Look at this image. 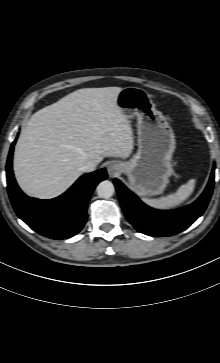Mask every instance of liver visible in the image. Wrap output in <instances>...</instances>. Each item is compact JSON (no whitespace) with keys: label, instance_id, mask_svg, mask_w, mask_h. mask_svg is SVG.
<instances>
[{"label":"liver","instance_id":"6515ba94","mask_svg":"<svg viewBox=\"0 0 220 363\" xmlns=\"http://www.w3.org/2000/svg\"><path fill=\"white\" fill-rule=\"evenodd\" d=\"M120 87L83 88L46 106L29 119L14 151L21 189L40 199L64 193L88 161L127 158L134 147L130 121L117 106Z\"/></svg>","mask_w":220,"mask_h":363}]
</instances>
